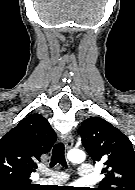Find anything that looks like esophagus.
Returning a JSON list of instances; mask_svg holds the SVG:
<instances>
[{
    "mask_svg": "<svg viewBox=\"0 0 135 190\" xmlns=\"http://www.w3.org/2000/svg\"><path fill=\"white\" fill-rule=\"evenodd\" d=\"M64 144H65V148L67 150L71 149V147L74 144V139L73 136L71 134H68L65 139H64Z\"/></svg>",
    "mask_w": 135,
    "mask_h": 190,
    "instance_id": "obj_1",
    "label": "esophagus"
}]
</instances>
